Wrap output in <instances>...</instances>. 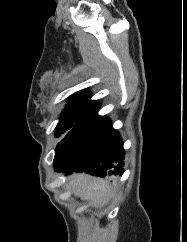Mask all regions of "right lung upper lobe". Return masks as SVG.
<instances>
[{"mask_svg": "<svg viewBox=\"0 0 187 242\" xmlns=\"http://www.w3.org/2000/svg\"><path fill=\"white\" fill-rule=\"evenodd\" d=\"M68 106H91L100 108V104L96 100H90L89 91L84 89L78 91L68 99Z\"/></svg>", "mask_w": 187, "mask_h": 242, "instance_id": "obj_1", "label": "right lung upper lobe"}]
</instances>
